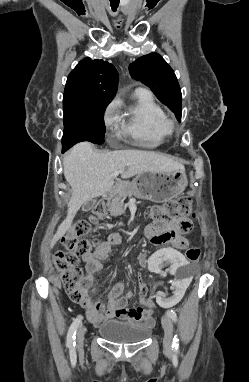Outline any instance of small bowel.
I'll return each instance as SVG.
<instances>
[{
    "mask_svg": "<svg viewBox=\"0 0 249 382\" xmlns=\"http://www.w3.org/2000/svg\"><path fill=\"white\" fill-rule=\"evenodd\" d=\"M192 228L193 220L191 217L172 215L149 226L145 230V234L152 241V246H161V243L166 242L174 245L175 250H179L186 247L187 240L184 234L191 232ZM121 241L122 238L119 233H110L107 239L100 242L94 251L83 255V261L86 265L85 298L78 303L85 309L87 318L94 325H101L109 319H119L151 328L154 323L152 318L154 301L146 297L141 300V306L127 308L133 297V292L125 291L123 283H117L111 288L105 297L106 304L96 301L90 296L95 273L101 270V263L108 258L111 248L120 244ZM140 260H147L144 252L138 256V261Z\"/></svg>",
    "mask_w": 249,
    "mask_h": 382,
    "instance_id": "1",
    "label": "small bowel"
}]
</instances>
